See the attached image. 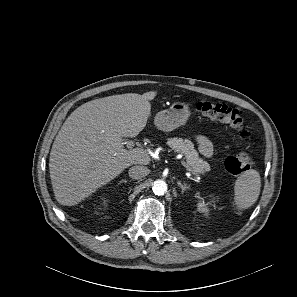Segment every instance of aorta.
Instances as JSON below:
<instances>
[{
    "instance_id": "obj_1",
    "label": "aorta",
    "mask_w": 297,
    "mask_h": 297,
    "mask_svg": "<svg viewBox=\"0 0 297 297\" xmlns=\"http://www.w3.org/2000/svg\"><path fill=\"white\" fill-rule=\"evenodd\" d=\"M152 189L155 195H164L167 192V184L163 180H156Z\"/></svg>"
}]
</instances>
